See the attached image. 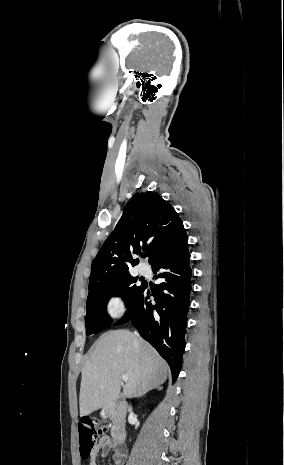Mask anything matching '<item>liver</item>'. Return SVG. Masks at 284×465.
Here are the masks:
<instances>
[{
  "instance_id": "obj_1",
  "label": "liver",
  "mask_w": 284,
  "mask_h": 465,
  "mask_svg": "<svg viewBox=\"0 0 284 465\" xmlns=\"http://www.w3.org/2000/svg\"><path fill=\"white\" fill-rule=\"evenodd\" d=\"M168 365L157 351L129 331H108L98 339L82 369L80 417L109 407L119 397L122 375L127 399L142 397L165 383Z\"/></svg>"
}]
</instances>
